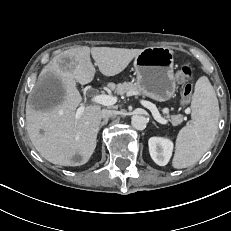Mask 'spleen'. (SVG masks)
<instances>
[{
	"instance_id": "obj_1",
	"label": "spleen",
	"mask_w": 231,
	"mask_h": 231,
	"mask_svg": "<svg viewBox=\"0 0 231 231\" xmlns=\"http://www.w3.org/2000/svg\"><path fill=\"white\" fill-rule=\"evenodd\" d=\"M191 109L192 120L177 135L172 162L176 169L189 167L199 161L211 146L217 132L219 104L206 76L200 77L195 84Z\"/></svg>"
}]
</instances>
